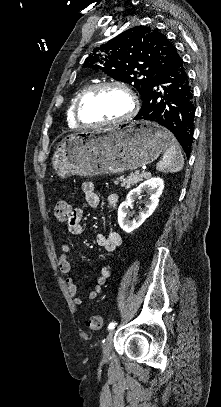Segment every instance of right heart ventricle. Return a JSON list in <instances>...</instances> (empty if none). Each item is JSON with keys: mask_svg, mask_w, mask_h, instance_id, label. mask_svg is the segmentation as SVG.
<instances>
[{"mask_svg": "<svg viewBox=\"0 0 221 407\" xmlns=\"http://www.w3.org/2000/svg\"><path fill=\"white\" fill-rule=\"evenodd\" d=\"M90 86H91L90 84L82 85V86L78 87L73 92V94H72V96H71V98L69 100V103L67 105V110H66L67 122H68L69 125H71V126H76L77 125V122H76L75 117H74V107H75L76 101L80 97V95L85 90H87Z\"/></svg>", "mask_w": 221, "mask_h": 407, "instance_id": "1", "label": "right heart ventricle"}]
</instances>
